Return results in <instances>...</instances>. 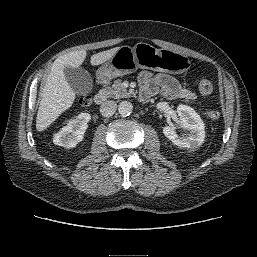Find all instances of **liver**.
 <instances>
[{
    "label": "liver",
    "instance_id": "1",
    "mask_svg": "<svg viewBox=\"0 0 257 257\" xmlns=\"http://www.w3.org/2000/svg\"><path fill=\"white\" fill-rule=\"evenodd\" d=\"M120 47L99 52L91 56V65H100L110 60ZM86 51H75L58 57L51 68L41 94V101L36 118V129L45 130L59 115L70 108L75 100V92L68 84L64 69L79 68L86 58Z\"/></svg>",
    "mask_w": 257,
    "mask_h": 257
}]
</instances>
